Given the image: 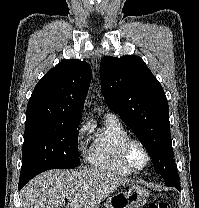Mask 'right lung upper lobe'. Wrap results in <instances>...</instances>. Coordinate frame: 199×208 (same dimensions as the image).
<instances>
[{"mask_svg": "<svg viewBox=\"0 0 199 208\" xmlns=\"http://www.w3.org/2000/svg\"><path fill=\"white\" fill-rule=\"evenodd\" d=\"M91 76V67L84 61L60 62L35 86L27 105V118L80 120Z\"/></svg>", "mask_w": 199, "mask_h": 208, "instance_id": "right-lung-upper-lobe-1", "label": "right lung upper lobe"}]
</instances>
